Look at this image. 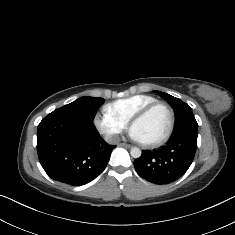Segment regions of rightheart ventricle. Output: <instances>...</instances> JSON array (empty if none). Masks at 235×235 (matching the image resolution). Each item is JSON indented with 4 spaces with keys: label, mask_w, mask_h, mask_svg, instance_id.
Instances as JSON below:
<instances>
[{
    "label": "right heart ventricle",
    "mask_w": 235,
    "mask_h": 235,
    "mask_svg": "<svg viewBox=\"0 0 235 235\" xmlns=\"http://www.w3.org/2000/svg\"><path fill=\"white\" fill-rule=\"evenodd\" d=\"M158 102L152 95L139 93L118 99L110 104L113 113L125 121H130L135 114L148 105Z\"/></svg>",
    "instance_id": "e07e8e85"
}]
</instances>
